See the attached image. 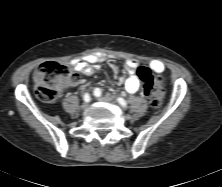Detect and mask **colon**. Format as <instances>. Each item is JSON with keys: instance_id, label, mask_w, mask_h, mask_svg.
Masks as SVG:
<instances>
[{"instance_id": "1", "label": "colon", "mask_w": 222, "mask_h": 187, "mask_svg": "<svg viewBox=\"0 0 222 187\" xmlns=\"http://www.w3.org/2000/svg\"><path fill=\"white\" fill-rule=\"evenodd\" d=\"M137 76L149 103L153 107L160 106L164 98L162 82L147 67L139 68ZM74 78L69 65L56 61L45 62L39 66L34 75L36 94L43 101L53 102L65 86L73 83Z\"/></svg>"}]
</instances>
